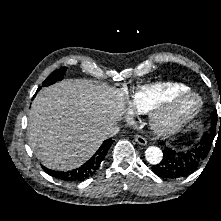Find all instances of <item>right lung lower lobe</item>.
Here are the masks:
<instances>
[{"label":"right lung lower lobe","mask_w":221,"mask_h":221,"mask_svg":"<svg viewBox=\"0 0 221 221\" xmlns=\"http://www.w3.org/2000/svg\"><path fill=\"white\" fill-rule=\"evenodd\" d=\"M39 90L40 88L37 91ZM113 142L114 141L111 139L105 140L96 153L86 163L72 171H54L46 167H43V169L52 177L58 178L62 181H83L96 172Z\"/></svg>","instance_id":"1"}]
</instances>
